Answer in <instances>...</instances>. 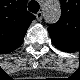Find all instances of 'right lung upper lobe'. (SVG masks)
<instances>
[{
	"label": "right lung upper lobe",
	"instance_id": "right-lung-upper-lobe-1",
	"mask_svg": "<svg viewBox=\"0 0 80 80\" xmlns=\"http://www.w3.org/2000/svg\"><path fill=\"white\" fill-rule=\"evenodd\" d=\"M34 18L25 1L11 0L0 13V46L9 50L18 48Z\"/></svg>",
	"mask_w": 80,
	"mask_h": 80
}]
</instances>
